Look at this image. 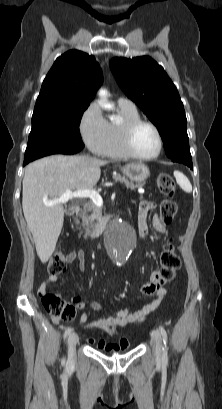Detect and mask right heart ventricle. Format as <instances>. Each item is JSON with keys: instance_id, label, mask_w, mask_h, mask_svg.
Returning a JSON list of instances; mask_svg holds the SVG:
<instances>
[{"instance_id": "right-heart-ventricle-1", "label": "right heart ventricle", "mask_w": 222, "mask_h": 409, "mask_svg": "<svg viewBox=\"0 0 222 409\" xmlns=\"http://www.w3.org/2000/svg\"><path fill=\"white\" fill-rule=\"evenodd\" d=\"M118 112L121 116L119 123H108V140L101 151V155L110 158H127L121 145V130L125 123L140 119V114L136 107H126L118 104Z\"/></svg>"}]
</instances>
